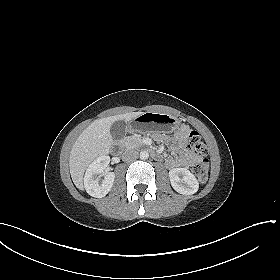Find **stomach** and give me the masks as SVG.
Instances as JSON below:
<instances>
[{"label":"stomach","instance_id":"stomach-1","mask_svg":"<svg viewBox=\"0 0 280 280\" xmlns=\"http://www.w3.org/2000/svg\"><path fill=\"white\" fill-rule=\"evenodd\" d=\"M179 126L180 120L172 115L146 112L131 121L130 129L136 132L146 127H155L165 133H171Z\"/></svg>","mask_w":280,"mask_h":280}]
</instances>
